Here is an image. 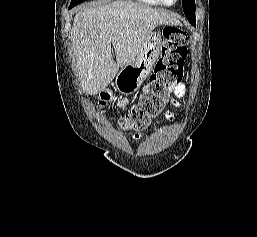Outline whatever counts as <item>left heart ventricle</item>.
I'll return each mask as SVG.
<instances>
[{"label":"left heart ventricle","instance_id":"left-heart-ventricle-1","mask_svg":"<svg viewBox=\"0 0 257 237\" xmlns=\"http://www.w3.org/2000/svg\"><path fill=\"white\" fill-rule=\"evenodd\" d=\"M165 1L168 2V3L174 2V0H165Z\"/></svg>","mask_w":257,"mask_h":237}]
</instances>
